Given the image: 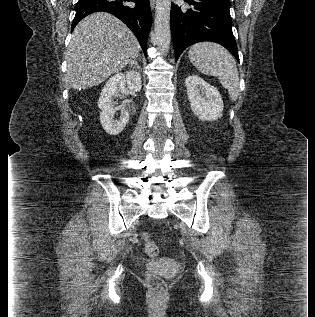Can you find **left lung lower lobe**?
<instances>
[{"label":"left lung lower lobe","mask_w":315,"mask_h":317,"mask_svg":"<svg viewBox=\"0 0 315 317\" xmlns=\"http://www.w3.org/2000/svg\"><path fill=\"white\" fill-rule=\"evenodd\" d=\"M191 9L172 4L170 28L175 59L190 45L211 41L224 46L239 61L238 48L232 33L229 0H186Z\"/></svg>","instance_id":"0a47b994"}]
</instances>
